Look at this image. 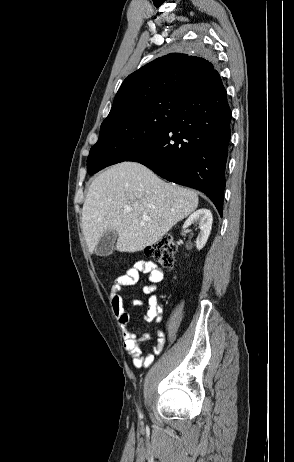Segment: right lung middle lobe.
<instances>
[{
  "label": "right lung middle lobe",
  "mask_w": 294,
  "mask_h": 462,
  "mask_svg": "<svg viewBox=\"0 0 294 462\" xmlns=\"http://www.w3.org/2000/svg\"><path fill=\"white\" fill-rule=\"evenodd\" d=\"M196 53L209 56L201 43L193 45ZM185 102L182 94L170 93L143 100L109 113L103 121L98 142L89 157L99 158L102 169L125 161L147 140L161 132L177 115Z\"/></svg>",
  "instance_id": "1"
}]
</instances>
